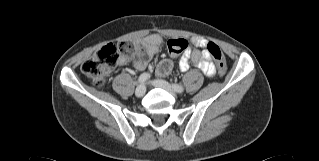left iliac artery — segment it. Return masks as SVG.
<instances>
[{
	"instance_id": "left-iliac-artery-1",
	"label": "left iliac artery",
	"mask_w": 319,
	"mask_h": 161,
	"mask_svg": "<svg viewBox=\"0 0 319 161\" xmlns=\"http://www.w3.org/2000/svg\"><path fill=\"white\" fill-rule=\"evenodd\" d=\"M172 87L176 92H182L184 90V88L179 84H172Z\"/></svg>"
}]
</instances>
